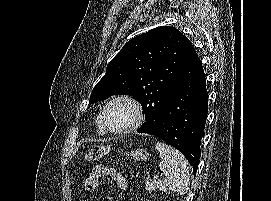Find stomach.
Segmentation results:
<instances>
[{
  "mask_svg": "<svg viewBox=\"0 0 271 201\" xmlns=\"http://www.w3.org/2000/svg\"><path fill=\"white\" fill-rule=\"evenodd\" d=\"M137 161H145L149 158V153L144 149H137L129 153Z\"/></svg>",
  "mask_w": 271,
  "mask_h": 201,
  "instance_id": "1",
  "label": "stomach"
}]
</instances>
